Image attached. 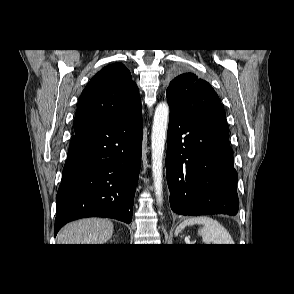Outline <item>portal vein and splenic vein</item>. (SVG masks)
Segmentation results:
<instances>
[{
  "label": "portal vein and splenic vein",
  "instance_id": "18ae733b",
  "mask_svg": "<svg viewBox=\"0 0 294 294\" xmlns=\"http://www.w3.org/2000/svg\"><path fill=\"white\" fill-rule=\"evenodd\" d=\"M188 244H194V242H189Z\"/></svg>",
  "mask_w": 294,
  "mask_h": 294
}]
</instances>
